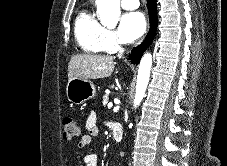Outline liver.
Instances as JSON below:
<instances>
[{
    "instance_id": "liver-1",
    "label": "liver",
    "mask_w": 227,
    "mask_h": 166,
    "mask_svg": "<svg viewBox=\"0 0 227 166\" xmlns=\"http://www.w3.org/2000/svg\"><path fill=\"white\" fill-rule=\"evenodd\" d=\"M114 66V57L110 55H74L68 63V80L106 78L112 74Z\"/></svg>"
}]
</instances>
